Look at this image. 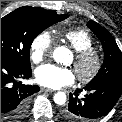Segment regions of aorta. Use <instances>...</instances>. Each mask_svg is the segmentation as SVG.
I'll list each match as a JSON object with an SVG mask.
<instances>
[{"label":"aorta","mask_w":122,"mask_h":122,"mask_svg":"<svg viewBox=\"0 0 122 122\" xmlns=\"http://www.w3.org/2000/svg\"><path fill=\"white\" fill-rule=\"evenodd\" d=\"M70 51L66 47H57L53 51V58L57 63H65L66 58L69 57ZM53 100L58 105H63L66 102V94L63 92H57Z\"/></svg>","instance_id":"1"}]
</instances>
